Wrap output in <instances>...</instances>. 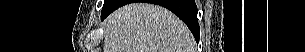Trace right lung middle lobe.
Here are the masks:
<instances>
[{
    "label": "right lung middle lobe",
    "mask_w": 305,
    "mask_h": 52,
    "mask_svg": "<svg viewBox=\"0 0 305 52\" xmlns=\"http://www.w3.org/2000/svg\"><path fill=\"white\" fill-rule=\"evenodd\" d=\"M108 2H109V1L105 0V1H104V5H106ZM104 5H103V6H104Z\"/></svg>",
    "instance_id": "obj_1"
}]
</instances>
